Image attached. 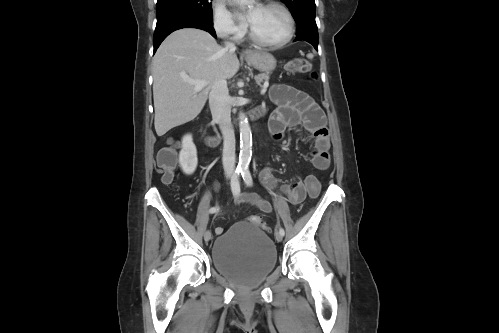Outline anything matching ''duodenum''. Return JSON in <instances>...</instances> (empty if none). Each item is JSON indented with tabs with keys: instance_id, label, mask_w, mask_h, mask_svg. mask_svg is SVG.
Instances as JSON below:
<instances>
[{
	"instance_id": "obj_1",
	"label": "duodenum",
	"mask_w": 499,
	"mask_h": 333,
	"mask_svg": "<svg viewBox=\"0 0 499 333\" xmlns=\"http://www.w3.org/2000/svg\"><path fill=\"white\" fill-rule=\"evenodd\" d=\"M247 115L251 120H258L264 115V111L261 108H255L249 110ZM237 120H239V118H237Z\"/></svg>"
}]
</instances>
